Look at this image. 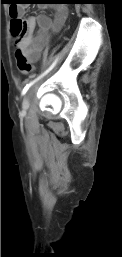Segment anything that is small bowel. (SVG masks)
<instances>
[{
	"label": "small bowel",
	"mask_w": 122,
	"mask_h": 257,
	"mask_svg": "<svg viewBox=\"0 0 122 257\" xmlns=\"http://www.w3.org/2000/svg\"><path fill=\"white\" fill-rule=\"evenodd\" d=\"M22 12V10H20ZM67 16V10L63 7L56 8L54 19L41 14L30 16L26 20V30L24 35L17 40L16 47L29 61L37 60L42 51L49 43L51 31H58ZM38 27V33L35 35V29Z\"/></svg>",
	"instance_id": "c3829d8e"
}]
</instances>
